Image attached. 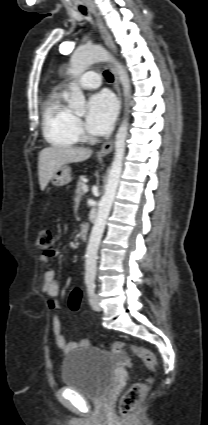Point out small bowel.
<instances>
[{"label":"small bowel","mask_w":208,"mask_h":425,"mask_svg":"<svg viewBox=\"0 0 208 425\" xmlns=\"http://www.w3.org/2000/svg\"><path fill=\"white\" fill-rule=\"evenodd\" d=\"M55 255H56V252H54L52 255L42 254L40 256V260L42 262L47 263L50 261V258ZM43 291L48 296V299H47L48 308L52 311L58 310L60 308V305L56 298L59 294L60 286L56 277V272L53 269H48L44 273ZM52 326H53L54 340L57 346L65 353H68L76 349L77 347L86 346L89 343L88 339L86 338L82 339L79 342H67L65 340V337L62 331L60 318L58 314L56 313L53 315Z\"/></svg>","instance_id":"obj_1"}]
</instances>
